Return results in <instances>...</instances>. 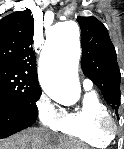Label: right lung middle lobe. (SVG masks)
Here are the masks:
<instances>
[{
	"label": "right lung middle lobe",
	"instance_id": "right-lung-middle-lobe-1",
	"mask_svg": "<svg viewBox=\"0 0 124 149\" xmlns=\"http://www.w3.org/2000/svg\"><path fill=\"white\" fill-rule=\"evenodd\" d=\"M40 96L41 88L36 81L20 71L0 66V99L23 104L37 112Z\"/></svg>",
	"mask_w": 124,
	"mask_h": 149
}]
</instances>
